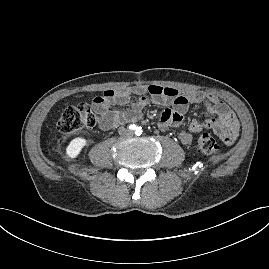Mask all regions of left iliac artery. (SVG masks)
<instances>
[{"instance_id":"obj_1","label":"left iliac artery","mask_w":269,"mask_h":269,"mask_svg":"<svg viewBox=\"0 0 269 269\" xmlns=\"http://www.w3.org/2000/svg\"><path fill=\"white\" fill-rule=\"evenodd\" d=\"M142 133L141 127L136 129V135H140Z\"/></svg>"}]
</instances>
